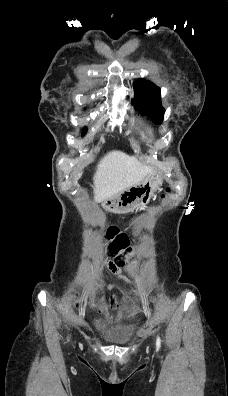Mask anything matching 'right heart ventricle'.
<instances>
[{"label": "right heart ventricle", "mask_w": 228, "mask_h": 396, "mask_svg": "<svg viewBox=\"0 0 228 396\" xmlns=\"http://www.w3.org/2000/svg\"><path fill=\"white\" fill-rule=\"evenodd\" d=\"M148 132L151 133V129L147 128Z\"/></svg>", "instance_id": "right-heart-ventricle-1"}]
</instances>
